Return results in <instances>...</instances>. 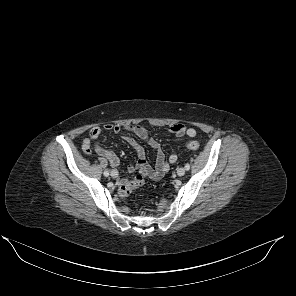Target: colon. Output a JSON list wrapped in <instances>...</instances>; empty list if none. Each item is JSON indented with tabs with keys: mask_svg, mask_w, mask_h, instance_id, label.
Here are the masks:
<instances>
[{
	"mask_svg": "<svg viewBox=\"0 0 296 296\" xmlns=\"http://www.w3.org/2000/svg\"><path fill=\"white\" fill-rule=\"evenodd\" d=\"M199 143L197 141H190L187 143V148L190 150H197L199 148ZM144 182L143 176L141 174L135 176L132 180L121 185L119 189V194L122 198H127L134 188L141 186Z\"/></svg>",
	"mask_w": 296,
	"mask_h": 296,
	"instance_id": "colon-1",
	"label": "colon"
}]
</instances>
